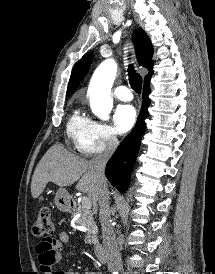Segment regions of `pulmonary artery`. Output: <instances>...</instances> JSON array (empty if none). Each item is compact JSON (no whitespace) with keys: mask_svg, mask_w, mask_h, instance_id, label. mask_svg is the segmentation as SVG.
I'll list each match as a JSON object with an SVG mask.
<instances>
[{"mask_svg":"<svg viewBox=\"0 0 215 274\" xmlns=\"http://www.w3.org/2000/svg\"><path fill=\"white\" fill-rule=\"evenodd\" d=\"M115 96L121 101H131L133 99V95L130 89L127 86L121 85L115 88L114 90Z\"/></svg>","mask_w":215,"mask_h":274,"instance_id":"1","label":"pulmonary artery"}]
</instances>
